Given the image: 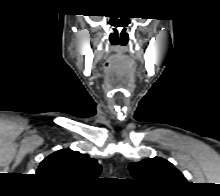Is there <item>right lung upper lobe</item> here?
Instances as JSON below:
<instances>
[{"label": "right lung upper lobe", "mask_w": 220, "mask_h": 196, "mask_svg": "<svg viewBox=\"0 0 220 196\" xmlns=\"http://www.w3.org/2000/svg\"><path fill=\"white\" fill-rule=\"evenodd\" d=\"M101 165L86 154L70 149H61L46 157L36 174L53 182L87 185L97 179Z\"/></svg>", "instance_id": "cb5924a9"}]
</instances>
